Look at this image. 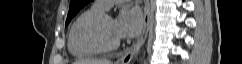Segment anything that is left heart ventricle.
I'll use <instances>...</instances> for the list:
<instances>
[{
	"label": "left heart ventricle",
	"mask_w": 242,
	"mask_h": 64,
	"mask_svg": "<svg viewBox=\"0 0 242 64\" xmlns=\"http://www.w3.org/2000/svg\"><path fill=\"white\" fill-rule=\"evenodd\" d=\"M100 36L106 43H112L117 40L115 34V20L112 17H107L101 27Z\"/></svg>",
	"instance_id": "obj_1"
}]
</instances>
